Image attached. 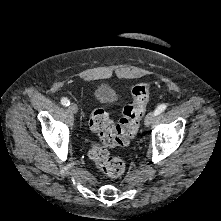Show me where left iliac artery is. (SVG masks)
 Returning <instances> with one entry per match:
<instances>
[{"label": "left iliac artery", "mask_w": 221, "mask_h": 221, "mask_svg": "<svg viewBox=\"0 0 221 221\" xmlns=\"http://www.w3.org/2000/svg\"><path fill=\"white\" fill-rule=\"evenodd\" d=\"M167 108L166 104H161L159 105L156 110H155V115H159L160 113H162L165 109Z\"/></svg>", "instance_id": "44dca946"}]
</instances>
